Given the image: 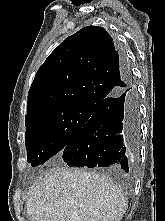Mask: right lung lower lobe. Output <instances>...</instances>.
Here are the masks:
<instances>
[{
  "label": "right lung lower lobe",
  "instance_id": "right-lung-lower-lobe-1",
  "mask_svg": "<svg viewBox=\"0 0 165 221\" xmlns=\"http://www.w3.org/2000/svg\"><path fill=\"white\" fill-rule=\"evenodd\" d=\"M140 137V117L131 81L97 102L90 119L61 152L76 167H118L129 173V158Z\"/></svg>",
  "mask_w": 165,
  "mask_h": 221
}]
</instances>
